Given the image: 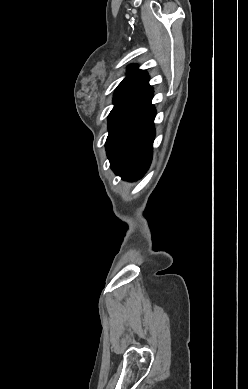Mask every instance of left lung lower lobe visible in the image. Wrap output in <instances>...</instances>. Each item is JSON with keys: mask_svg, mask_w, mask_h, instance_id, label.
<instances>
[{"mask_svg": "<svg viewBox=\"0 0 248 389\" xmlns=\"http://www.w3.org/2000/svg\"><path fill=\"white\" fill-rule=\"evenodd\" d=\"M148 81L144 72L116 95L108 116L107 156L112 170L126 181L140 179L152 160L156 110Z\"/></svg>", "mask_w": 248, "mask_h": 389, "instance_id": "obj_1", "label": "left lung lower lobe"}]
</instances>
